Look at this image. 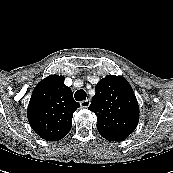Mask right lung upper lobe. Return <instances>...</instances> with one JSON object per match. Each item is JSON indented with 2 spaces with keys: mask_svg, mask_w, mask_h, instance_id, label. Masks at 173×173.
Listing matches in <instances>:
<instances>
[{
  "mask_svg": "<svg viewBox=\"0 0 173 173\" xmlns=\"http://www.w3.org/2000/svg\"><path fill=\"white\" fill-rule=\"evenodd\" d=\"M64 79L58 75L45 78L34 88L28 105L31 128L47 141H58L67 135L73 113L80 106Z\"/></svg>",
  "mask_w": 173,
  "mask_h": 173,
  "instance_id": "right-lung-upper-lobe-1",
  "label": "right lung upper lobe"
}]
</instances>
